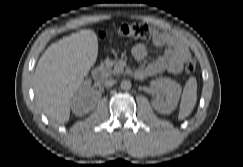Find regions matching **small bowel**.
I'll use <instances>...</instances> for the list:
<instances>
[{"label": "small bowel", "instance_id": "c3829d8e", "mask_svg": "<svg viewBox=\"0 0 243 167\" xmlns=\"http://www.w3.org/2000/svg\"><path fill=\"white\" fill-rule=\"evenodd\" d=\"M156 46L164 47V52L156 60L146 66H140L136 75L139 78L155 77L163 72L178 74L181 72L183 63L190 56L186 42L178 35L162 30H156L153 38ZM147 45L137 43L132 48V55L138 62H142L147 56Z\"/></svg>", "mask_w": 243, "mask_h": 167}]
</instances>
